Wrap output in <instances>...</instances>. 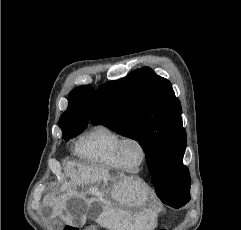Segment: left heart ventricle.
Here are the masks:
<instances>
[{"instance_id": "obj_1", "label": "left heart ventricle", "mask_w": 241, "mask_h": 230, "mask_svg": "<svg viewBox=\"0 0 241 230\" xmlns=\"http://www.w3.org/2000/svg\"><path fill=\"white\" fill-rule=\"evenodd\" d=\"M123 157L131 168H137L142 160V151L138 144L129 142L123 150Z\"/></svg>"}]
</instances>
